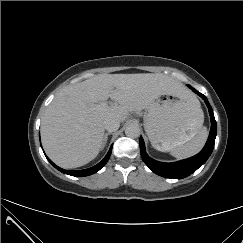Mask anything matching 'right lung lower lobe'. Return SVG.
I'll list each match as a JSON object with an SVG mask.
<instances>
[{
  "mask_svg": "<svg viewBox=\"0 0 243 243\" xmlns=\"http://www.w3.org/2000/svg\"><path fill=\"white\" fill-rule=\"evenodd\" d=\"M111 151H112V146L110 147V150L108 151L107 155L104 157V159L98 163L97 165L91 167V168H88V169H84V170H77V171H68V170H64L58 166H56L48 157V161L56 168L58 169L59 171H61L62 173L64 174H68V175H71V176H76V177H82V176H88V175H91V174H94L96 173L97 171H99L108 161L110 155H111Z\"/></svg>",
  "mask_w": 243,
  "mask_h": 243,
  "instance_id": "right-lung-lower-lobe-1",
  "label": "right lung lower lobe"
}]
</instances>
